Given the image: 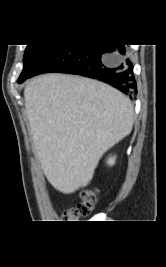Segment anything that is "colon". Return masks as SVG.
<instances>
[{"mask_svg": "<svg viewBox=\"0 0 166 267\" xmlns=\"http://www.w3.org/2000/svg\"><path fill=\"white\" fill-rule=\"evenodd\" d=\"M99 197L96 189L87 188L81 192V202L76 207L68 209L64 218L65 222H77L80 217L88 216L95 205L98 203Z\"/></svg>", "mask_w": 166, "mask_h": 267, "instance_id": "colon-1", "label": "colon"}]
</instances>
